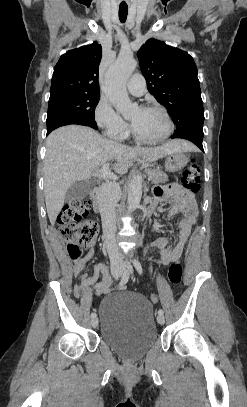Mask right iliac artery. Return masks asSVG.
<instances>
[{
  "label": "right iliac artery",
  "mask_w": 247,
  "mask_h": 407,
  "mask_svg": "<svg viewBox=\"0 0 247 407\" xmlns=\"http://www.w3.org/2000/svg\"><path fill=\"white\" fill-rule=\"evenodd\" d=\"M129 276H130V273H129L128 270H126V271L123 273V275H122V278H121V280H120L119 286H123L124 284H126V283L128 282V280H129ZM95 317H96V313H95V312H92V313H91V318L93 319V318H95Z\"/></svg>",
  "instance_id": "82829eb1"
}]
</instances>
